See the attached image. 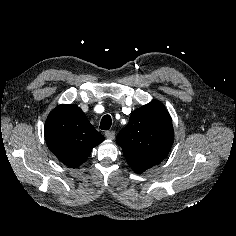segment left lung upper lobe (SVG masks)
Masks as SVG:
<instances>
[{
	"instance_id": "1",
	"label": "left lung upper lobe",
	"mask_w": 236,
	"mask_h": 236,
	"mask_svg": "<svg viewBox=\"0 0 236 236\" xmlns=\"http://www.w3.org/2000/svg\"><path fill=\"white\" fill-rule=\"evenodd\" d=\"M174 141L171 118L159 101L135 110L129 123L117 135L116 142L130 165H158L167 156Z\"/></svg>"
}]
</instances>
